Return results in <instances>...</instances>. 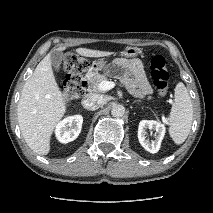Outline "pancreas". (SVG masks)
I'll use <instances>...</instances> for the list:
<instances>
[{
	"label": "pancreas",
	"mask_w": 213,
	"mask_h": 213,
	"mask_svg": "<svg viewBox=\"0 0 213 213\" xmlns=\"http://www.w3.org/2000/svg\"><path fill=\"white\" fill-rule=\"evenodd\" d=\"M86 80L88 81L90 91L97 92L100 91L98 85L102 82L107 80V77L103 74H89L87 75ZM149 100L151 97L148 98Z\"/></svg>",
	"instance_id": "obj_1"
}]
</instances>
